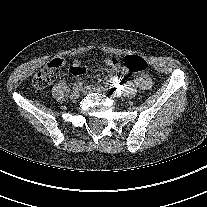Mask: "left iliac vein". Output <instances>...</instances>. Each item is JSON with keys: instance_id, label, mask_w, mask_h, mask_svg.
<instances>
[{"instance_id": "1", "label": "left iliac vein", "mask_w": 207, "mask_h": 207, "mask_svg": "<svg viewBox=\"0 0 207 207\" xmlns=\"http://www.w3.org/2000/svg\"><path fill=\"white\" fill-rule=\"evenodd\" d=\"M82 92L87 94V93H91V92H99V93H103L107 99H109L112 102L116 101V98L113 96V93L111 91H107L106 88H98V87H94V86H85L82 88Z\"/></svg>"}]
</instances>
